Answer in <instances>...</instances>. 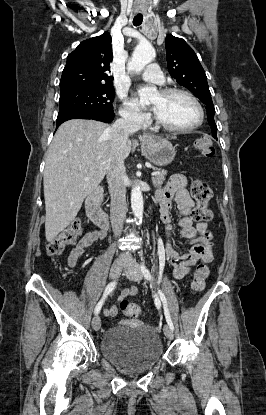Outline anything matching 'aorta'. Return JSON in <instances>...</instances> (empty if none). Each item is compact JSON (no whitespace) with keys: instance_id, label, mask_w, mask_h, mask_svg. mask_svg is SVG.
<instances>
[{"instance_id":"obj_1","label":"aorta","mask_w":266,"mask_h":415,"mask_svg":"<svg viewBox=\"0 0 266 415\" xmlns=\"http://www.w3.org/2000/svg\"><path fill=\"white\" fill-rule=\"evenodd\" d=\"M155 58V50L148 42L141 43L135 48L132 58L128 63V69L140 73L144 67ZM140 101L148 104L156 94L155 87H145L138 91ZM131 207L134 216L142 221L143 216V196L140 187L135 186L131 191Z\"/></svg>"}]
</instances>
